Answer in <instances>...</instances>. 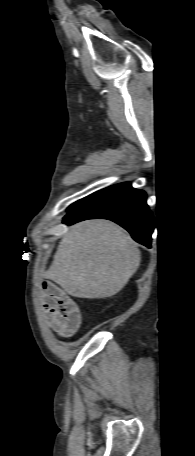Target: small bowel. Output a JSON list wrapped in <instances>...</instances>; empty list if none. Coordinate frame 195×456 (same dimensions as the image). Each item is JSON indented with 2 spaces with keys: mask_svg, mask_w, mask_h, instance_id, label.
<instances>
[{
  "mask_svg": "<svg viewBox=\"0 0 195 456\" xmlns=\"http://www.w3.org/2000/svg\"><path fill=\"white\" fill-rule=\"evenodd\" d=\"M41 303L46 324L63 337L73 335L80 326L81 313L52 282L42 284Z\"/></svg>",
  "mask_w": 195,
  "mask_h": 456,
  "instance_id": "small-bowel-1",
  "label": "small bowel"
}]
</instances>
